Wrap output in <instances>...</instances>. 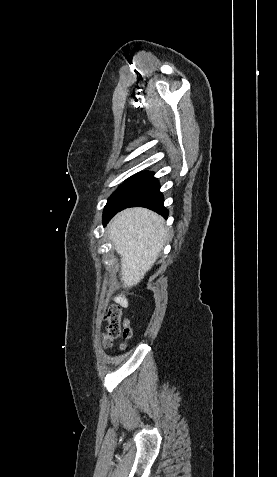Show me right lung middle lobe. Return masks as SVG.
Returning <instances> with one entry per match:
<instances>
[{
	"label": "right lung middle lobe",
	"instance_id": "dd1d6c3e",
	"mask_svg": "<svg viewBox=\"0 0 277 477\" xmlns=\"http://www.w3.org/2000/svg\"><path fill=\"white\" fill-rule=\"evenodd\" d=\"M155 180L154 173L149 171L129 178L108 199L103 211V224L106 225L117 212L127 208Z\"/></svg>",
	"mask_w": 277,
	"mask_h": 477
}]
</instances>
